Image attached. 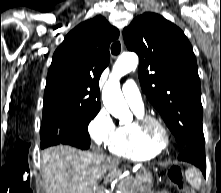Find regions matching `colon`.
I'll use <instances>...</instances> for the list:
<instances>
[{
	"label": "colon",
	"mask_w": 221,
	"mask_h": 193,
	"mask_svg": "<svg viewBox=\"0 0 221 193\" xmlns=\"http://www.w3.org/2000/svg\"><path fill=\"white\" fill-rule=\"evenodd\" d=\"M169 181L171 185L179 191H182L184 193H195L193 190L187 188L183 170L177 165L172 166L169 170Z\"/></svg>",
	"instance_id": "1"
}]
</instances>
